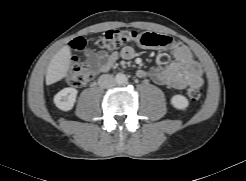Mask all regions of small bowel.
Returning <instances> with one entry per match:
<instances>
[{"label": "small bowel", "mask_w": 246, "mask_h": 181, "mask_svg": "<svg viewBox=\"0 0 246 181\" xmlns=\"http://www.w3.org/2000/svg\"><path fill=\"white\" fill-rule=\"evenodd\" d=\"M169 52L172 61L168 65L161 68L139 70L137 72L138 77L150 78L159 85L174 89H183L189 84L203 85L202 67L193 58L186 46L175 41V44L169 47ZM85 54L91 65L96 67L100 72H106L119 57L127 60L132 59L135 56V50L131 46H125L120 53L86 50Z\"/></svg>", "instance_id": "obj_1"}]
</instances>
